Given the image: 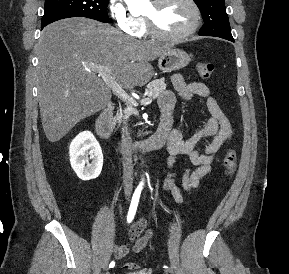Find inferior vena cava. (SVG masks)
<instances>
[{
	"label": "inferior vena cava",
	"mask_w": 289,
	"mask_h": 274,
	"mask_svg": "<svg viewBox=\"0 0 289 274\" xmlns=\"http://www.w3.org/2000/svg\"><path fill=\"white\" fill-rule=\"evenodd\" d=\"M123 140L126 143V138L123 137ZM122 163L124 191L126 195H130L133 189V162L129 151L123 152Z\"/></svg>",
	"instance_id": "obj_1"
}]
</instances>
